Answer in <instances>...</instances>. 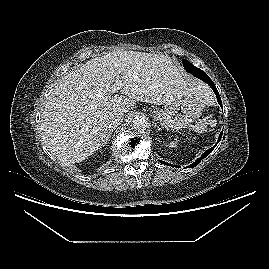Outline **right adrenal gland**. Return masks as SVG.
Instances as JSON below:
<instances>
[{
	"mask_svg": "<svg viewBox=\"0 0 269 269\" xmlns=\"http://www.w3.org/2000/svg\"><path fill=\"white\" fill-rule=\"evenodd\" d=\"M114 130H115V128H111V129H109V131H108V133H107V136H106V138H105V141H104V143H103V146L106 145L107 142L110 140V138H111V134H112V132H113Z\"/></svg>",
	"mask_w": 269,
	"mask_h": 269,
	"instance_id": "2a0ac1e0",
	"label": "right adrenal gland"
}]
</instances>
